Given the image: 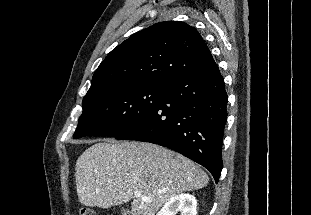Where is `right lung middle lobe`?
I'll return each mask as SVG.
<instances>
[{"instance_id":"dd1d6c3e","label":"right lung middle lobe","mask_w":311,"mask_h":215,"mask_svg":"<svg viewBox=\"0 0 311 215\" xmlns=\"http://www.w3.org/2000/svg\"><path fill=\"white\" fill-rule=\"evenodd\" d=\"M163 95L164 86L160 84L105 89L86 96L74 138L115 137L150 114Z\"/></svg>"}]
</instances>
